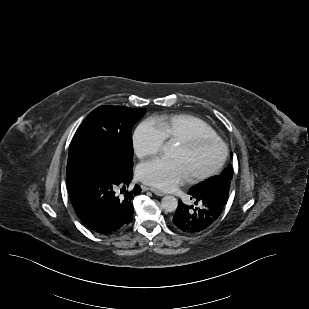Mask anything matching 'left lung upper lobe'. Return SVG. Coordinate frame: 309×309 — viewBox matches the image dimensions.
Wrapping results in <instances>:
<instances>
[{
    "label": "left lung upper lobe",
    "instance_id": "left-lung-upper-lobe-1",
    "mask_svg": "<svg viewBox=\"0 0 309 309\" xmlns=\"http://www.w3.org/2000/svg\"><path fill=\"white\" fill-rule=\"evenodd\" d=\"M233 155L231 154V158ZM233 177V168L228 166L221 175L209 178L208 180L194 186L196 189L208 194H217L228 197L229 187Z\"/></svg>",
    "mask_w": 309,
    "mask_h": 309
}]
</instances>
